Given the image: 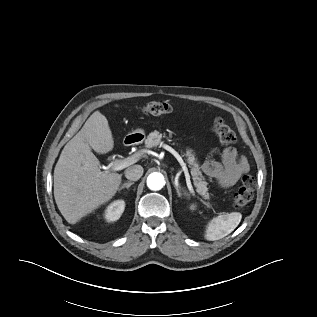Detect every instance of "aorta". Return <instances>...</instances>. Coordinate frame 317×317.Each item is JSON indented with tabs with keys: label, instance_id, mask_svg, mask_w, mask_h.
I'll use <instances>...</instances> for the list:
<instances>
[{
	"label": "aorta",
	"instance_id": "1",
	"mask_svg": "<svg viewBox=\"0 0 317 317\" xmlns=\"http://www.w3.org/2000/svg\"><path fill=\"white\" fill-rule=\"evenodd\" d=\"M147 186L153 191L162 189L165 186L164 176L159 172H153L147 177Z\"/></svg>",
	"mask_w": 317,
	"mask_h": 317
}]
</instances>
